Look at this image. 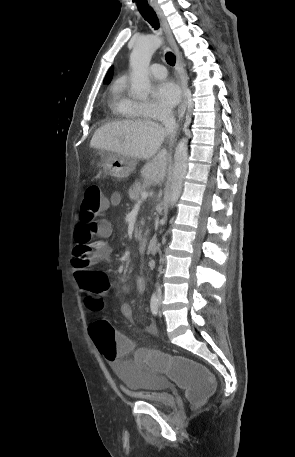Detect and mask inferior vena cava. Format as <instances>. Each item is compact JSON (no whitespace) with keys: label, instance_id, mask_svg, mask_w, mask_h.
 <instances>
[{"label":"inferior vena cava","instance_id":"inferior-vena-cava-1","mask_svg":"<svg viewBox=\"0 0 295 457\" xmlns=\"http://www.w3.org/2000/svg\"><path fill=\"white\" fill-rule=\"evenodd\" d=\"M160 121L162 122V124L165 127V130L168 133H170L172 135L175 134L177 124H176V120L174 118V115H173V112H172L171 109L167 108V109H163L161 111ZM161 295H162L161 288L158 286V288H157V296H158V298H161Z\"/></svg>","mask_w":295,"mask_h":457}]
</instances>
